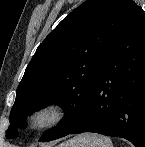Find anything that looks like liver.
Segmentation results:
<instances>
[{"label": "liver", "mask_w": 145, "mask_h": 147, "mask_svg": "<svg viewBox=\"0 0 145 147\" xmlns=\"http://www.w3.org/2000/svg\"><path fill=\"white\" fill-rule=\"evenodd\" d=\"M68 144H69V141L61 144L59 147H66V145H68Z\"/></svg>", "instance_id": "6515ba94"}]
</instances>
